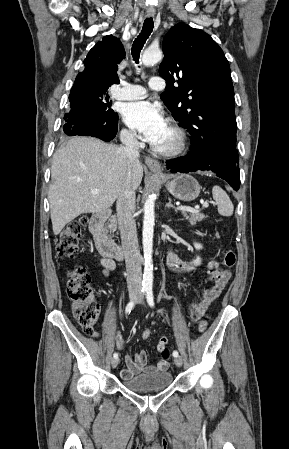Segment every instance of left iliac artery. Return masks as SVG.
<instances>
[{
	"label": "left iliac artery",
	"mask_w": 289,
	"mask_h": 449,
	"mask_svg": "<svg viewBox=\"0 0 289 449\" xmlns=\"http://www.w3.org/2000/svg\"><path fill=\"white\" fill-rule=\"evenodd\" d=\"M146 298H147V302L151 307H154V298H153V291L151 288L146 290ZM173 356L174 357H178V351H174L173 352Z\"/></svg>",
	"instance_id": "left-iliac-artery-1"
}]
</instances>
